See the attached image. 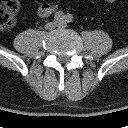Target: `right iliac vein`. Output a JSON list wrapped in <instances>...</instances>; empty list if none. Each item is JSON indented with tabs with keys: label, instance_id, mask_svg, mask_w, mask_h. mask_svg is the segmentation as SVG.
Returning <instances> with one entry per match:
<instances>
[{
	"label": "right iliac vein",
	"instance_id": "obj_1",
	"mask_svg": "<svg viewBox=\"0 0 128 128\" xmlns=\"http://www.w3.org/2000/svg\"><path fill=\"white\" fill-rule=\"evenodd\" d=\"M57 26H58L57 22L56 21H53V22L47 23L45 25V28H46V30L51 31V30L55 29Z\"/></svg>",
	"mask_w": 128,
	"mask_h": 128
}]
</instances>
